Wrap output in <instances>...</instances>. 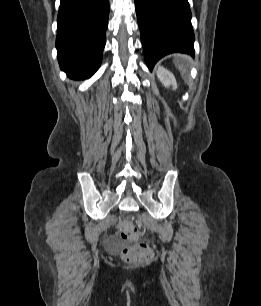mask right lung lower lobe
I'll return each mask as SVG.
<instances>
[{
    "label": "right lung lower lobe",
    "mask_w": 261,
    "mask_h": 306,
    "mask_svg": "<svg viewBox=\"0 0 261 306\" xmlns=\"http://www.w3.org/2000/svg\"><path fill=\"white\" fill-rule=\"evenodd\" d=\"M56 48L62 70L91 76L101 63L109 0H60Z\"/></svg>",
    "instance_id": "obj_1"
}]
</instances>
